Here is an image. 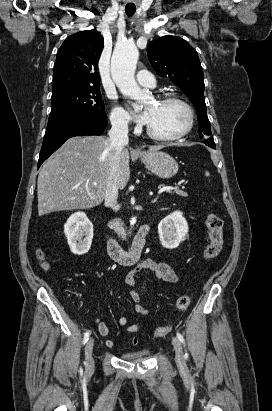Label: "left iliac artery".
<instances>
[{
  "label": "left iliac artery",
  "instance_id": "obj_1",
  "mask_svg": "<svg viewBox=\"0 0 272 411\" xmlns=\"http://www.w3.org/2000/svg\"><path fill=\"white\" fill-rule=\"evenodd\" d=\"M177 338H178V340L182 343V344H184V346H185V340H184V337L182 336V334H180L179 332H177ZM185 359H187L188 358V354L187 353H185Z\"/></svg>",
  "mask_w": 272,
  "mask_h": 411
}]
</instances>
